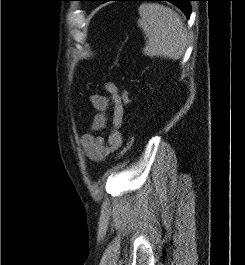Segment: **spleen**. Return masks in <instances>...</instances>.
<instances>
[{
    "instance_id": "obj_1",
    "label": "spleen",
    "mask_w": 245,
    "mask_h": 265,
    "mask_svg": "<svg viewBox=\"0 0 245 265\" xmlns=\"http://www.w3.org/2000/svg\"><path fill=\"white\" fill-rule=\"evenodd\" d=\"M138 26L147 38L143 53L150 57L180 59L187 46V30L181 17L158 3H143Z\"/></svg>"
}]
</instances>
